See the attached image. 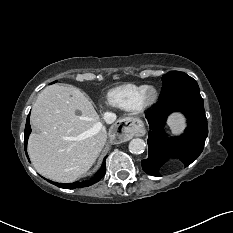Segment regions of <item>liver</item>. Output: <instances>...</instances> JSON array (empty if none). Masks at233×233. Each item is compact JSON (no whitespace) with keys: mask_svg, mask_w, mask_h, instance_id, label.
Returning a JSON list of instances; mask_svg holds the SVG:
<instances>
[{"mask_svg":"<svg viewBox=\"0 0 233 233\" xmlns=\"http://www.w3.org/2000/svg\"><path fill=\"white\" fill-rule=\"evenodd\" d=\"M30 120L36 130L28 140L30 160L39 174L56 182L70 183L84 175L106 143L93 105L70 85L44 88Z\"/></svg>","mask_w":233,"mask_h":233,"instance_id":"6515ba94","label":"liver"}]
</instances>
